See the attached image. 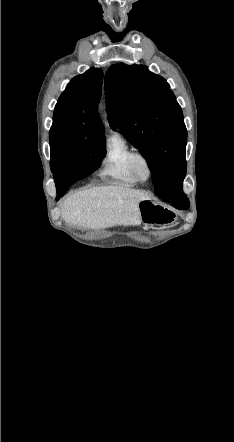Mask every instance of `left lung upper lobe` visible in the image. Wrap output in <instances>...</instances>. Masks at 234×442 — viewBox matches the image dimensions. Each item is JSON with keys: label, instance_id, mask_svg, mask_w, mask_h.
<instances>
[{"label": "left lung upper lobe", "instance_id": "5c2ea615", "mask_svg": "<svg viewBox=\"0 0 234 442\" xmlns=\"http://www.w3.org/2000/svg\"><path fill=\"white\" fill-rule=\"evenodd\" d=\"M108 120L146 159L160 198L183 193L187 130L167 81L142 65H112L105 75Z\"/></svg>", "mask_w": 234, "mask_h": 442}]
</instances>
